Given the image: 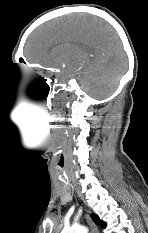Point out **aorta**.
<instances>
[{"label":"aorta","mask_w":148,"mask_h":233,"mask_svg":"<svg viewBox=\"0 0 148 233\" xmlns=\"http://www.w3.org/2000/svg\"><path fill=\"white\" fill-rule=\"evenodd\" d=\"M61 233H88V228L82 225H73L65 228Z\"/></svg>","instance_id":"obj_1"}]
</instances>
